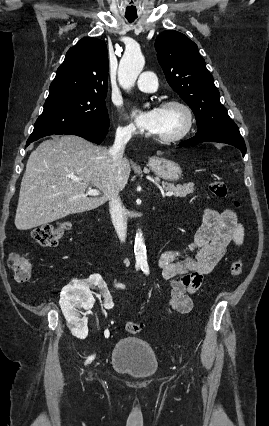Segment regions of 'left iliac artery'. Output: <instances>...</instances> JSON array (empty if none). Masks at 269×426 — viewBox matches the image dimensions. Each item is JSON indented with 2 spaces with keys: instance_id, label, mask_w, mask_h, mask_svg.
Here are the masks:
<instances>
[{
  "instance_id": "1",
  "label": "left iliac artery",
  "mask_w": 269,
  "mask_h": 426,
  "mask_svg": "<svg viewBox=\"0 0 269 426\" xmlns=\"http://www.w3.org/2000/svg\"><path fill=\"white\" fill-rule=\"evenodd\" d=\"M142 270H143V271H144V273H146V274H148V273H149V269H148V267H144Z\"/></svg>"
}]
</instances>
